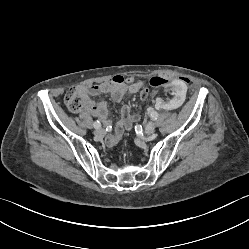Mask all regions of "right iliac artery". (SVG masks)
<instances>
[{"label": "right iliac artery", "instance_id": "right-iliac-artery-1", "mask_svg": "<svg viewBox=\"0 0 249 249\" xmlns=\"http://www.w3.org/2000/svg\"><path fill=\"white\" fill-rule=\"evenodd\" d=\"M93 125H94L95 128H100L101 127V123L98 120L95 121Z\"/></svg>", "mask_w": 249, "mask_h": 249}]
</instances>
